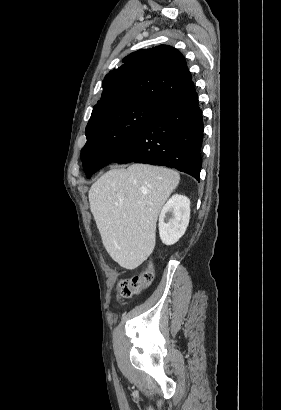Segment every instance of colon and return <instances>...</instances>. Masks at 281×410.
I'll use <instances>...</instances> for the list:
<instances>
[{"label": "colon", "instance_id": "colon-1", "mask_svg": "<svg viewBox=\"0 0 281 410\" xmlns=\"http://www.w3.org/2000/svg\"><path fill=\"white\" fill-rule=\"evenodd\" d=\"M153 278V266L149 264L140 275L121 280L117 285V293L122 298H130L148 287Z\"/></svg>", "mask_w": 281, "mask_h": 410}]
</instances>
